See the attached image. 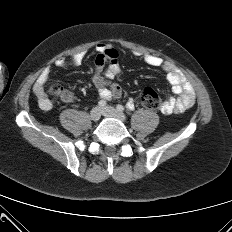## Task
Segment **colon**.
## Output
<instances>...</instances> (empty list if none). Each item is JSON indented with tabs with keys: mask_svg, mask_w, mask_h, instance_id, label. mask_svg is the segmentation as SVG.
<instances>
[{
	"mask_svg": "<svg viewBox=\"0 0 232 232\" xmlns=\"http://www.w3.org/2000/svg\"><path fill=\"white\" fill-rule=\"evenodd\" d=\"M50 92L62 95L64 90L58 85H53L50 87ZM141 102L146 108L151 110H160L163 104L160 95L150 87L144 89L141 96Z\"/></svg>",
	"mask_w": 232,
	"mask_h": 232,
	"instance_id": "obj_1",
	"label": "colon"
}]
</instances>
